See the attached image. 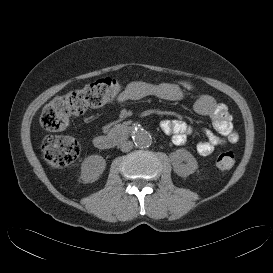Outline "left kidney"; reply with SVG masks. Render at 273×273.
<instances>
[{
	"instance_id": "1",
	"label": "left kidney",
	"mask_w": 273,
	"mask_h": 273,
	"mask_svg": "<svg viewBox=\"0 0 273 273\" xmlns=\"http://www.w3.org/2000/svg\"><path fill=\"white\" fill-rule=\"evenodd\" d=\"M170 159L174 172L181 177L189 176L198 168L197 160L186 149H178L171 153Z\"/></svg>"
}]
</instances>
